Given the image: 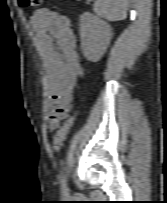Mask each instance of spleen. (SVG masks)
Listing matches in <instances>:
<instances>
[{"mask_svg": "<svg viewBox=\"0 0 167 203\" xmlns=\"http://www.w3.org/2000/svg\"><path fill=\"white\" fill-rule=\"evenodd\" d=\"M129 0H97L94 11L97 15L109 20L120 21L127 16Z\"/></svg>", "mask_w": 167, "mask_h": 203, "instance_id": "3e777b00", "label": "spleen"}]
</instances>
